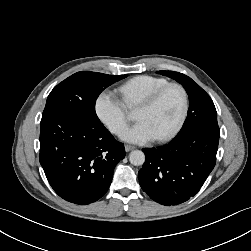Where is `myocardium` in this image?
<instances>
[{
  "label": "myocardium",
  "mask_w": 251,
  "mask_h": 251,
  "mask_svg": "<svg viewBox=\"0 0 251 251\" xmlns=\"http://www.w3.org/2000/svg\"><path fill=\"white\" fill-rule=\"evenodd\" d=\"M172 88L178 89L179 92L181 93L182 110H181L180 116H179L177 122L174 124V126L169 131L164 133L163 135H160L155 138V140L158 142H164V141H167V140L173 138L179 132V130L182 128V126L186 120L188 110H189V97H188V93H187L186 89L184 88L183 85H181L179 83L169 82L166 85L159 88L158 90H156L155 92H153L150 96H148L146 99H144L138 105V107L151 108L159 102V100L163 97V95L168 90H170Z\"/></svg>",
  "instance_id": "myocardium-1"
}]
</instances>
